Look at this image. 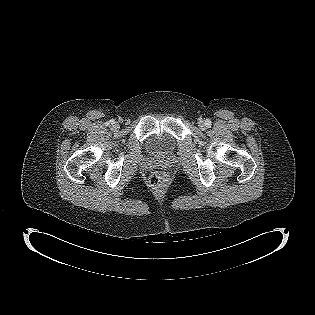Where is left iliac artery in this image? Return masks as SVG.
Listing matches in <instances>:
<instances>
[{
	"instance_id": "1",
	"label": "left iliac artery",
	"mask_w": 315,
	"mask_h": 315,
	"mask_svg": "<svg viewBox=\"0 0 315 315\" xmlns=\"http://www.w3.org/2000/svg\"><path fill=\"white\" fill-rule=\"evenodd\" d=\"M205 125L208 126V127L211 126V120L210 119H206L205 120Z\"/></svg>"
}]
</instances>
